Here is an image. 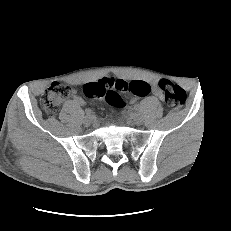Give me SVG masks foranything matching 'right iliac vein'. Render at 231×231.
Returning a JSON list of instances; mask_svg holds the SVG:
<instances>
[{
  "mask_svg": "<svg viewBox=\"0 0 231 231\" xmlns=\"http://www.w3.org/2000/svg\"><path fill=\"white\" fill-rule=\"evenodd\" d=\"M94 122V117L91 115H87L84 119V124L85 125H91Z\"/></svg>",
  "mask_w": 231,
  "mask_h": 231,
  "instance_id": "1",
  "label": "right iliac vein"
}]
</instances>
